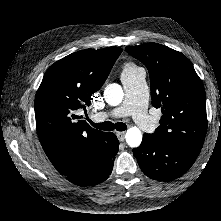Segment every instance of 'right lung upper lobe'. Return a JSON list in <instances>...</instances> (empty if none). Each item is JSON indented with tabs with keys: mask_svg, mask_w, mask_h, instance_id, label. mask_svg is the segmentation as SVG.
<instances>
[{
	"mask_svg": "<svg viewBox=\"0 0 221 221\" xmlns=\"http://www.w3.org/2000/svg\"><path fill=\"white\" fill-rule=\"evenodd\" d=\"M121 52L119 47L75 52L55 62L43 77L35 96L36 129L62 175L103 159L105 133L79 120L76 111L90 105Z\"/></svg>",
	"mask_w": 221,
	"mask_h": 221,
	"instance_id": "right-lung-upper-lobe-1",
	"label": "right lung upper lobe"
}]
</instances>
